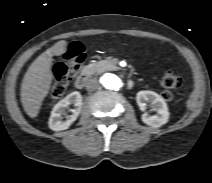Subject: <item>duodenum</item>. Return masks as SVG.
<instances>
[{
  "label": "duodenum",
  "instance_id": "obj_1",
  "mask_svg": "<svg viewBox=\"0 0 212 183\" xmlns=\"http://www.w3.org/2000/svg\"><path fill=\"white\" fill-rule=\"evenodd\" d=\"M89 76H90L89 71H85L81 75H79L75 80V87L78 89L84 88L89 79Z\"/></svg>",
  "mask_w": 212,
  "mask_h": 183
}]
</instances>
